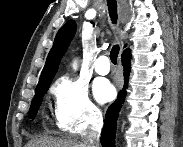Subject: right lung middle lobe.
Wrapping results in <instances>:
<instances>
[{
  "label": "right lung middle lobe",
  "instance_id": "1",
  "mask_svg": "<svg viewBox=\"0 0 183 147\" xmlns=\"http://www.w3.org/2000/svg\"><path fill=\"white\" fill-rule=\"evenodd\" d=\"M48 88L49 87H45L35 91V96L32 100V104L29 110V118L33 119L36 116V113L41 105L42 98L46 94Z\"/></svg>",
  "mask_w": 183,
  "mask_h": 147
}]
</instances>
